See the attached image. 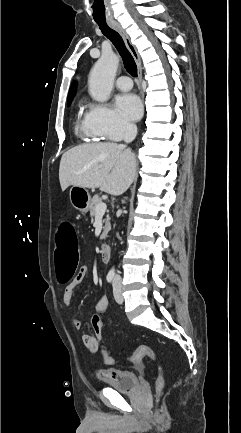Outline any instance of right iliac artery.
<instances>
[{
  "mask_svg": "<svg viewBox=\"0 0 241 433\" xmlns=\"http://www.w3.org/2000/svg\"><path fill=\"white\" fill-rule=\"evenodd\" d=\"M114 276L113 275H107V281L111 283L113 281Z\"/></svg>",
  "mask_w": 241,
  "mask_h": 433,
  "instance_id": "right-iliac-artery-1",
  "label": "right iliac artery"
}]
</instances>
